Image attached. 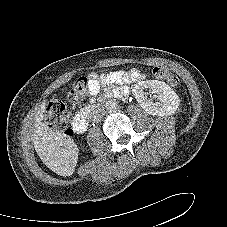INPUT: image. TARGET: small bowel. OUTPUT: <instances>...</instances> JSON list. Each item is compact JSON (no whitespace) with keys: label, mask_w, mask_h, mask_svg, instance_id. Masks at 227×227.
<instances>
[{"label":"small bowel","mask_w":227,"mask_h":227,"mask_svg":"<svg viewBox=\"0 0 227 227\" xmlns=\"http://www.w3.org/2000/svg\"><path fill=\"white\" fill-rule=\"evenodd\" d=\"M144 75L139 71H112L109 73L98 75L96 73H92L89 76V91L90 94H96L102 85L109 83H129L138 79L143 78Z\"/></svg>","instance_id":"small-bowel-1"}]
</instances>
